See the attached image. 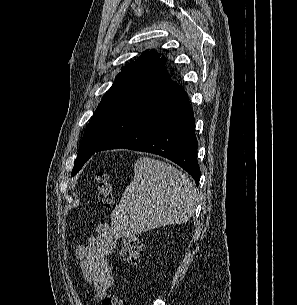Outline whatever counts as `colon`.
<instances>
[{
	"label": "colon",
	"instance_id": "colon-1",
	"mask_svg": "<svg viewBox=\"0 0 297 305\" xmlns=\"http://www.w3.org/2000/svg\"><path fill=\"white\" fill-rule=\"evenodd\" d=\"M98 192L103 198L105 205L112 203L111 184L109 176L105 171H100L96 177ZM143 253V243L138 237H128L124 240L119 252V258L122 262L136 264L139 262ZM101 305H126L124 299L115 294L107 295L101 302Z\"/></svg>",
	"mask_w": 297,
	"mask_h": 305
}]
</instances>
